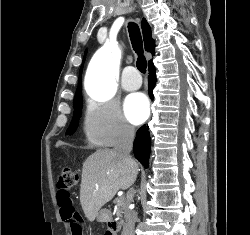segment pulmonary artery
<instances>
[{
  "instance_id": "1",
  "label": "pulmonary artery",
  "mask_w": 250,
  "mask_h": 235,
  "mask_svg": "<svg viewBox=\"0 0 250 235\" xmlns=\"http://www.w3.org/2000/svg\"><path fill=\"white\" fill-rule=\"evenodd\" d=\"M141 77L133 66L124 69L121 77V85L127 91H133L141 86Z\"/></svg>"
}]
</instances>
